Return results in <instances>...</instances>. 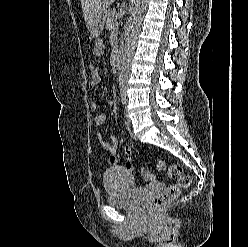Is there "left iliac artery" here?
<instances>
[{
    "mask_svg": "<svg viewBox=\"0 0 248 247\" xmlns=\"http://www.w3.org/2000/svg\"><path fill=\"white\" fill-rule=\"evenodd\" d=\"M121 99H122V103H125L126 100V93H125V89L122 87L121 89Z\"/></svg>",
    "mask_w": 248,
    "mask_h": 247,
    "instance_id": "1",
    "label": "left iliac artery"
}]
</instances>
